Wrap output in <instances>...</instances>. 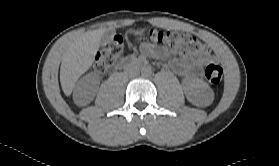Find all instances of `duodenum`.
Here are the masks:
<instances>
[{
  "instance_id": "1",
  "label": "duodenum",
  "mask_w": 279,
  "mask_h": 166,
  "mask_svg": "<svg viewBox=\"0 0 279 166\" xmlns=\"http://www.w3.org/2000/svg\"><path fill=\"white\" fill-rule=\"evenodd\" d=\"M145 63L142 60H137L133 58H125L120 61L117 65L118 69H126L131 67H142Z\"/></svg>"
}]
</instances>
